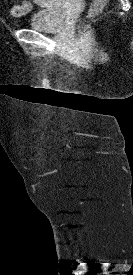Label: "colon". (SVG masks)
<instances>
[{
    "mask_svg": "<svg viewBox=\"0 0 133 275\" xmlns=\"http://www.w3.org/2000/svg\"><path fill=\"white\" fill-rule=\"evenodd\" d=\"M105 5V0H94L91 6V14L95 15L100 13ZM31 6L28 2H24L20 5H14L11 13L13 16H22L30 10Z\"/></svg>",
    "mask_w": 133,
    "mask_h": 275,
    "instance_id": "1",
    "label": "colon"
}]
</instances>
